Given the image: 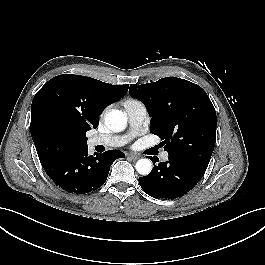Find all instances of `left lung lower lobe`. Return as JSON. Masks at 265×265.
I'll return each mask as SVG.
<instances>
[{"label": "left lung lower lobe", "instance_id": "obj_1", "mask_svg": "<svg viewBox=\"0 0 265 265\" xmlns=\"http://www.w3.org/2000/svg\"><path fill=\"white\" fill-rule=\"evenodd\" d=\"M149 158L154 165L158 162L157 157ZM205 171L191 163L169 157L168 161L155 165L148 176L140 177L139 184L152 197L174 199L192 190Z\"/></svg>", "mask_w": 265, "mask_h": 265}]
</instances>
